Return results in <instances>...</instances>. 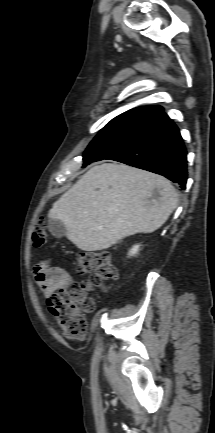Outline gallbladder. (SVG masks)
I'll return each mask as SVG.
<instances>
[{
    "instance_id": "1",
    "label": "gallbladder",
    "mask_w": 215,
    "mask_h": 433,
    "mask_svg": "<svg viewBox=\"0 0 215 433\" xmlns=\"http://www.w3.org/2000/svg\"><path fill=\"white\" fill-rule=\"evenodd\" d=\"M48 229L50 233L56 238H62L63 236H65L66 233L65 226L59 220L49 219Z\"/></svg>"
}]
</instances>
